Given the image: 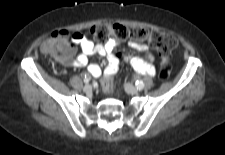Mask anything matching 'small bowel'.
Instances as JSON below:
<instances>
[{
	"instance_id": "1",
	"label": "small bowel",
	"mask_w": 225,
	"mask_h": 155,
	"mask_svg": "<svg viewBox=\"0 0 225 155\" xmlns=\"http://www.w3.org/2000/svg\"><path fill=\"white\" fill-rule=\"evenodd\" d=\"M71 42L74 46L80 47L81 52L77 57L70 63L75 67H86L87 71L93 77H99L101 75V68L99 65L88 62V57L91 55H103L108 59V64L104 69L103 80H111L112 76H117L120 74L121 69L115 63L110 62L114 54L113 50L117 43L114 40H108L105 43H94L93 41L87 39V34L83 30H75L71 34ZM130 45L140 52H147L148 47L144 43L131 42ZM155 57L152 54H147V58L141 57H131L129 62L135 71L138 73L153 76L155 74V68L153 62Z\"/></svg>"
}]
</instances>
